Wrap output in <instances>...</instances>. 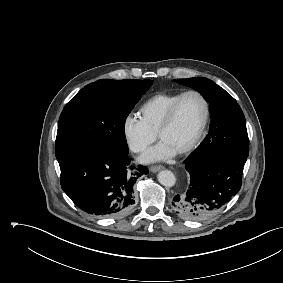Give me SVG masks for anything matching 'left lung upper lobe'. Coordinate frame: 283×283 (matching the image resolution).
Instances as JSON below:
<instances>
[{
  "instance_id": "left-lung-upper-lobe-1",
  "label": "left lung upper lobe",
  "mask_w": 283,
  "mask_h": 283,
  "mask_svg": "<svg viewBox=\"0 0 283 283\" xmlns=\"http://www.w3.org/2000/svg\"><path fill=\"white\" fill-rule=\"evenodd\" d=\"M177 83L200 92L210 103L211 124L207 137L187 157L194 160L212 154H234L248 157L249 139L244 114L224 89L203 77L175 79Z\"/></svg>"
}]
</instances>
